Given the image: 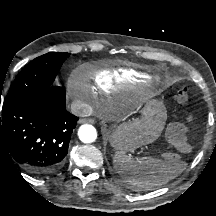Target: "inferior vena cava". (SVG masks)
Returning <instances> with one entry per match:
<instances>
[{"label": "inferior vena cava", "instance_id": "1", "mask_svg": "<svg viewBox=\"0 0 216 216\" xmlns=\"http://www.w3.org/2000/svg\"><path fill=\"white\" fill-rule=\"evenodd\" d=\"M71 111L78 116H84L92 112L89 105L83 103L81 100H74L71 104Z\"/></svg>", "mask_w": 216, "mask_h": 216}]
</instances>
